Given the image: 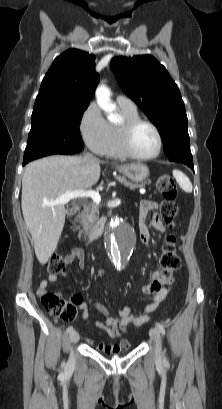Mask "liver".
I'll list each match as a JSON object with an SVG mask.
<instances>
[{"mask_svg": "<svg viewBox=\"0 0 222 409\" xmlns=\"http://www.w3.org/2000/svg\"><path fill=\"white\" fill-rule=\"evenodd\" d=\"M100 163L103 162L81 156L54 155L26 166L21 206L40 264H45L57 248L66 216L64 205L47 206L44 203L55 200L66 191L91 188L99 180Z\"/></svg>", "mask_w": 222, "mask_h": 409, "instance_id": "6515ba94", "label": "liver"}]
</instances>
